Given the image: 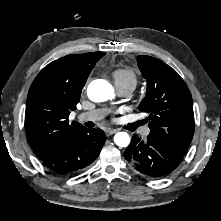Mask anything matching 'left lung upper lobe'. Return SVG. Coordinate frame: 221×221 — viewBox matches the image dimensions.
<instances>
[{
    "mask_svg": "<svg viewBox=\"0 0 221 221\" xmlns=\"http://www.w3.org/2000/svg\"><path fill=\"white\" fill-rule=\"evenodd\" d=\"M137 63L147 80L139 110L149 114V136L185 155L194 133L192 96L187 85L174 69L156 58L140 55Z\"/></svg>",
    "mask_w": 221,
    "mask_h": 221,
    "instance_id": "5c2ea615",
    "label": "left lung upper lobe"
}]
</instances>
